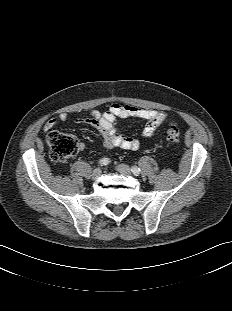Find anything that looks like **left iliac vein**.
Here are the masks:
<instances>
[{
  "label": "left iliac vein",
  "instance_id": "4c4485c4",
  "mask_svg": "<svg viewBox=\"0 0 232 311\" xmlns=\"http://www.w3.org/2000/svg\"><path fill=\"white\" fill-rule=\"evenodd\" d=\"M116 170L119 173L125 174V175H131V169L128 165L125 164H119L116 166Z\"/></svg>",
  "mask_w": 232,
  "mask_h": 311
}]
</instances>
